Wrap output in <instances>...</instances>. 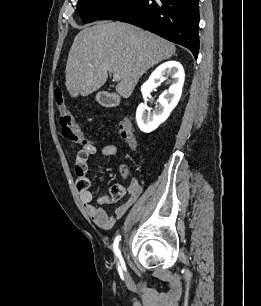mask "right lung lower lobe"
Listing matches in <instances>:
<instances>
[{"label": "right lung lower lobe", "mask_w": 261, "mask_h": 306, "mask_svg": "<svg viewBox=\"0 0 261 306\" xmlns=\"http://www.w3.org/2000/svg\"><path fill=\"white\" fill-rule=\"evenodd\" d=\"M99 19L127 22L199 51L198 0H120Z\"/></svg>", "instance_id": "obj_1"}]
</instances>
